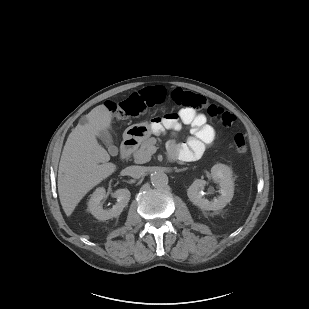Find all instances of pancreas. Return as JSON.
Listing matches in <instances>:
<instances>
[{"instance_id":"pancreas-1","label":"pancreas","mask_w":309,"mask_h":309,"mask_svg":"<svg viewBox=\"0 0 309 309\" xmlns=\"http://www.w3.org/2000/svg\"><path fill=\"white\" fill-rule=\"evenodd\" d=\"M157 139L154 137L145 140L140 148L133 153L134 161L137 164H143L151 160V148L156 144Z\"/></svg>"}]
</instances>
